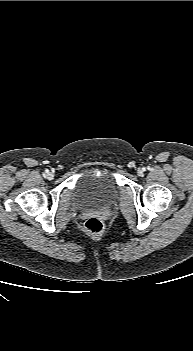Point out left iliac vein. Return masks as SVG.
Masks as SVG:
<instances>
[{"instance_id":"4c4485c4","label":"left iliac vein","mask_w":193,"mask_h":351,"mask_svg":"<svg viewBox=\"0 0 193 351\" xmlns=\"http://www.w3.org/2000/svg\"><path fill=\"white\" fill-rule=\"evenodd\" d=\"M137 173H138L139 176H141V175L143 174V170H142V169H139V170L137 171Z\"/></svg>"}]
</instances>
